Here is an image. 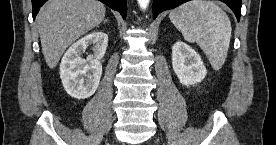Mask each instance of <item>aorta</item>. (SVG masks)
I'll use <instances>...</instances> for the list:
<instances>
[{"label": "aorta", "mask_w": 276, "mask_h": 145, "mask_svg": "<svg viewBox=\"0 0 276 145\" xmlns=\"http://www.w3.org/2000/svg\"><path fill=\"white\" fill-rule=\"evenodd\" d=\"M137 2H138L139 7L142 10H146L149 5L150 0H137Z\"/></svg>", "instance_id": "762f6f07"}]
</instances>
